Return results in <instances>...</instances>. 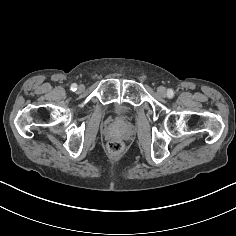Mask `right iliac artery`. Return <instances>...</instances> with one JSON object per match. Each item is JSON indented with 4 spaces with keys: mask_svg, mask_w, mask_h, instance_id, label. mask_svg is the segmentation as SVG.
Listing matches in <instances>:
<instances>
[{
    "mask_svg": "<svg viewBox=\"0 0 236 236\" xmlns=\"http://www.w3.org/2000/svg\"><path fill=\"white\" fill-rule=\"evenodd\" d=\"M76 89H77V84L73 83V84L71 85V90H72V91H76Z\"/></svg>",
    "mask_w": 236,
    "mask_h": 236,
    "instance_id": "1",
    "label": "right iliac artery"
}]
</instances>
